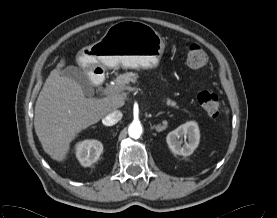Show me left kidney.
<instances>
[{
    "label": "left kidney",
    "instance_id": "left-kidney-1",
    "mask_svg": "<svg viewBox=\"0 0 277 218\" xmlns=\"http://www.w3.org/2000/svg\"><path fill=\"white\" fill-rule=\"evenodd\" d=\"M188 139V142L182 145L181 138ZM200 132L198 124L195 121H188L175 130L168 133L166 137L167 144L174 154L189 156L198 147Z\"/></svg>",
    "mask_w": 277,
    "mask_h": 218
}]
</instances>
